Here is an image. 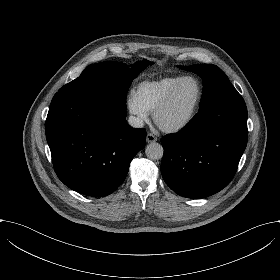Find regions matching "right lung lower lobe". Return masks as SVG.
<instances>
[{
	"mask_svg": "<svg viewBox=\"0 0 280 280\" xmlns=\"http://www.w3.org/2000/svg\"><path fill=\"white\" fill-rule=\"evenodd\" d=\"M45 130L58 178L91 197L117 189L146 141L145 129L127 124L126 111L75 94H55Z\"/></svg>",
	"mask_w": 280,
	"mask_h": 280,
	"instance_id": "98d812e1",
	"label": "right lung lower lobe"
}]
</instances>
